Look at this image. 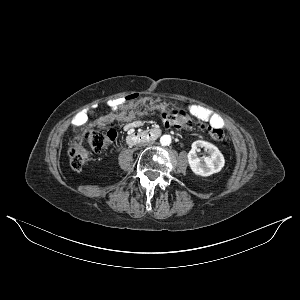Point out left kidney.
I'll return each mask as SVG.
<instances>
[{
	"label": "left kidney",
	"mask_w": 300,
	"mask_h": 300,
	"mask_svg": "<svg viewBox=\"0 0 300 300\" xmlns=\"http://www.w3.org/2000/svg\"><path fill=\"white\" fill-rule=\"evenodd\" d=\"M200 148H204L209 154L203 161L196 154ZM188 162L193 173L204 177L220 172L225 164L224 156L220 150L212 143L203 140L192 143V149L188 153Z\"/></svg>",
	"instance_id": "left-kidney-1"
}]
</instances>
